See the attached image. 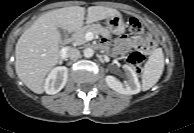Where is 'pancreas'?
<instances>
[{
  "instance_id": "obj_1",
  "label": "pancreas",
  "mask_w": 194,
  "mask_h": 133,
  "mask_svg": "<svg viewBox=\"0 0 194 133\" xmlns=\"http://www.w3.org/2000/svg\"><path fill=\"white\" fill-rule=\"evenodd\" d=\"M88 32H91L95 35L100 34L105 37L110 36V33L107 29L103 28L99 24H91L80 28L73 34L72 36L73 45L80 46L86 44L87 43L86 34Z\"/></svg>"
}]
</instances>
